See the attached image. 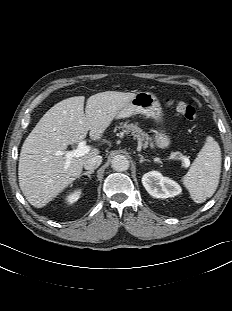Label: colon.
Here are the masks:
<instances>
[{"mask_svg":"<svg viewBox=\"0 0 232 311\" xmlns=\"http://www.w3.org/2000/svg\"><path fill=\"white\" fill-rule=\"evenodd\" d=\"M168 106L175 107L176 111L183 116L188 121H194L197 118V110L190 104L184 102H173L172 100H167Z\"/></svg>","mask_w":232,"mask_h":311,"instance_id":"1","label":"colon"}]
</instances>
